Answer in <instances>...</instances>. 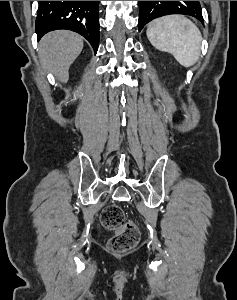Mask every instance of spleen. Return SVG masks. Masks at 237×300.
<instances>
[{"label":"spleen","instance_id":"3e777b00","mask_svg":"<svg viewBox=\"0 0 237 300\" xmlns=\"http://www.w3.org/2000/svg\"><path fill=\"white\" fill-rule=\"evenodd\" d=\"M147 37L158 51L171 53L183 67H192L200 57L202 35L183 15H168L149 23Z\"/></svg>","mask_w":237,"mask_h":300}]
</instances>
